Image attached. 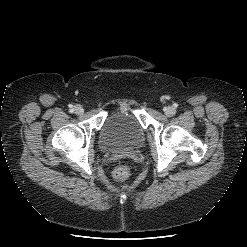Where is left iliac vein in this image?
Returning a JSON list of instances; mask_svg holds the SVG:
<instances>
[{
    "label": "left iliac vein",
    "mask_w": 247,
    "mask_h": 247,
    "mask_svg": "<svg viewBox=\"0 0 247 247\" xmlns=\"http://www.w3.org/2000/svg\"><path fill=\"white\" fill-rule=\"evenodd\" d=\"M165 114L167 115V116H171V115H173L174 114V112H175V109L174 108H172V107H167V108H165Z\"/></svg>",
    "instance_id": "4c4485c4"
}]
</instances>
